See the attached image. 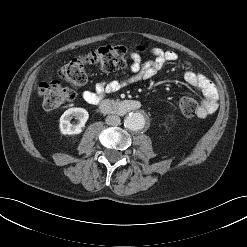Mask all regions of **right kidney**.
I'll use <instances>...</instances> for the list:
<instances>
[{
    "label": "right kidney",
    "mask_w": 247,
    "mask_h": 247,
    "mask_svg": "<svg viewBox=\"0 0 247 247\" xmlns=\"http://www.w3.org/2000/svg\"><path fill=\"white\" fill-rule=\"evenodd\" d=\"M75 117L78 123L72 124L70 121ZM89 118L88 112L84 108H70L66 110L60 117V131L62 134L76 135L80 134L85 127V123Z\"/></svg>",
    "instance_id": "1"
}]
</instances>
